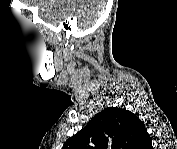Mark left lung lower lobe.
I'll use <instances>...</instances> for the list:
<instances>
[{
    "mask_svg": "<svg viewBox=\"0 0 177 149\" xmlns=\"http://www.w3.org/2000/svg\"><path fill=\"white\" fill-rule=\"evenodd\" d=\"M142 147H143V149H151L152 148L151 138H150L149 134H146V136H144Z\"/></svg>",
    "mask_w": 177,
    "mask_h": 149,
    "instance_id": "obj_1",
    "label": "left lung lower lobe"
}]
</instances>
